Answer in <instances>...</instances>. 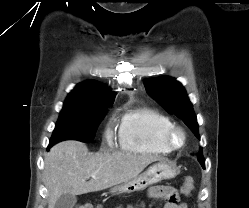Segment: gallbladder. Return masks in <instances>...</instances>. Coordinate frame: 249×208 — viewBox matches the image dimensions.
<instances>
[{
	"mask_svg": "<svg viewBox=\"0 0 249 208\" xmlns=\"http://www.w3.org/2000/svg\"><path fill=\"white\" fill-rule=\"evenodd\" d=\"M76 202L77 199L75 195L69 193L63 194L56 201L54 208H73Z\"/></svg>",
	"mask_w": 249,
	"mask_h": 208,
	"instance_id": "obj_1",
	"label": "gallbladder"
}]
</instances>
